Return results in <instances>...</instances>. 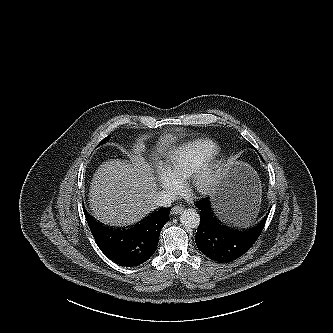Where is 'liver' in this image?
Returning a JSON list of instances; mask_svg holds the SVG:
<instances>
[{
	"label": "liver",
	"instance_id": "liver-1",
	"mask_svg": "<svg viewBox=\"0 0 333 333\" xmlns=\"http://www.w3.org/2000/svg\"><path fill=\"white\" fill-rule=\"evenodd\" d=\"M175 142L176 136L172 134L161 136L156 148L158 156L153 157V162L165 155ZM158 165L156 167L161 169L159 160ZM154 166L140 154L132 156L131 162L112 159L103 163L90 186L92 215L107 225L126 226L153 210L152 200L157 193Z\"/></svg>",
	"mask_w": 333,
	"mask_h": 333
}]
</instances>
